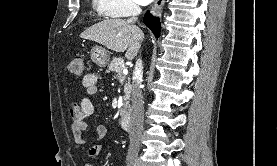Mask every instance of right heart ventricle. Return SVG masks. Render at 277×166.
I'll list each match as a JSON object with an SVG mask.
<instances>
[{
  "label": "right heart ventricle",
  "mask_w": 277,
  "mask_h": 166,
  "mask_svg": "<svg viewBox=\"0 0 277 166\" xmlns=\"http://www.w3.org/2000/svg\"><path fill=\"white\" fill-rule=\"evenodd\" d=\"M92 7L100 17H114V15L106 7L104 0H92Z\"/></svg>",
  "instance_id": "1"
}]
</instances>
